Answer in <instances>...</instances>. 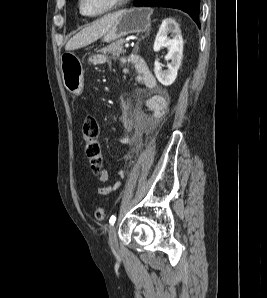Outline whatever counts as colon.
Masks as SVG:
<instances>
[{
    "instance_id": "colon-1",
    "label": "colon",
    "mask_w": 267,
    "mask_h": 298,
    "mask_svg": "<svg viewBox=\"0 0 267 298\" xmlns=\"http://www.w3.org/2000/svg\"><path fill=\"white\" fill-rule=\"evenodd\" d=\"M99 135L100 125L98 120L92 116H87L82 124L81 141L93 172L101 169L103 161ZM94 215L96 220L103 221L106 218V211L103 207H97Z\"/></svg>"
}]
</instances>
